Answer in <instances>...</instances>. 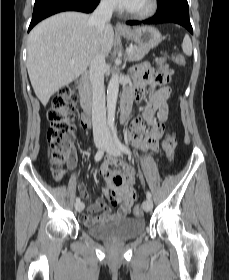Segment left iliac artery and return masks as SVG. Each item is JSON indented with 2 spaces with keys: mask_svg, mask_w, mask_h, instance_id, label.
Instances as JSON below:
<instances>
[{
  "mask_svg": "<svg viewBox=\"0 0 229 280\" xmlns=\"http://www.w3.org/2000/svg\"><path fill=\"white\" fill-rule=\"evenodd\" d=\"M113 138H114L116 145L123 153L131 155V150L127 146H125L123 143H121L120 140L118 139L116 130L113 131ZM146 197H147V199H151V193L149 191H147Z\"/></svg>",
  "mask_w": 229,
  "mask_h": 280,
  "instance_id": "44dca946",
  "label": "left iliac artery"
}]
</instances>
